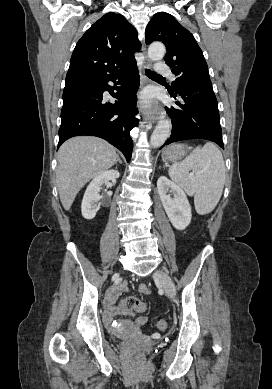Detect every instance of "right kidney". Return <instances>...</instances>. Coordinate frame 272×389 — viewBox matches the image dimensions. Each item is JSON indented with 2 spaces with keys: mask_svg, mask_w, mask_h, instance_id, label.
<instances>
[{
  "mask_svg": "<svg viewBox=\"0 0 272 389\" xmlns=\"http://www.w3.org/2000/svg\"><path fill=\"white\" fill-rule=\"evenodd\" d=\"M119 172L116 170L106 171L98 176H96L88 185L81 204L82 216L91 220L95 217L97 211L100 209V200L101 196L99 195L101 186L104 183L112 182L114 185L116 179L119 177Z\"/></svg>",
  "mask_w": 272,
  "mask_h": 389,
  "instance_id": "obj_1",
  "label": "right kidney"
}]
</instances>
